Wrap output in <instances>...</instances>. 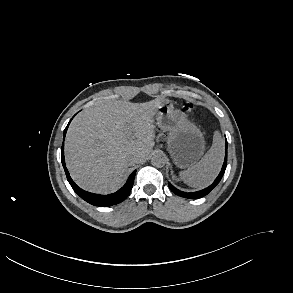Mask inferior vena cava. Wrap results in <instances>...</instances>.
<instances>
[{
  "label": "inferior vena cava",
  "instance_id": "1",
  "mask_svg": "<svg viewBox=\"0 0 293 293\" xmlns=\"http://www.w3.org/2000/svg\"><path fill=\"white\" fill-rule=\"evenodd\" d=\"M141 161V157L140 155L138 154H134V155H131L129 158H128V162L131 166L139 163Z\"/></svg>",
  "mask_w": 293,
  "mask_h": 293
}]
</instances>
